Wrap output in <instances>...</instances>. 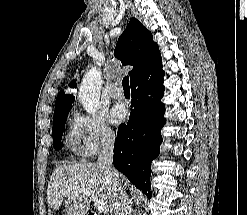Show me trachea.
Returning <instances> with one entry per match:
<instances>
[{"label": "trachea", "instance_id": "obj_1", "mask_svg": "<svg viewBox=\"0 0 247 215\" xmlns=\"http://www.w3.org/2000/svg\"><path fill=\"white\" fill-rule=\"evenodd\" d=\"M122 86L124 90H130V86H129V77L125 76L122 80Z\"/></svg>", "mask_w": 247, "mask_h": 215}]
</instances>
